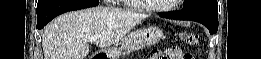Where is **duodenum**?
Here are the masks:
<instances>
[{
    "label": "duodenum",
    "mask_w": 261,
    "mask_h": 59,
    "mask_svg": "<svg viewBox=\"0 0 261 59\" xmlns=\"http://www.w3.org/2000/svg\"><path fill=\"white\" fill-rule=\"evenodd\" d=\"M107 56H106V53H97V54H94L92 59H106Z\"/></svg>",
    "instance_id": "obj_1"
}]
</instances>
